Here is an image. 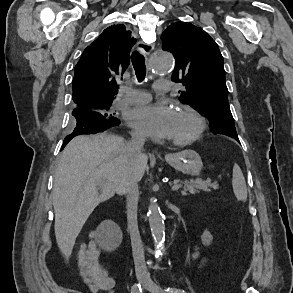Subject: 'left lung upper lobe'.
<instances>
[{"label":"left lung upper lobe","mask_w":293,"mask_h":293,"mask_svg":"<svg viewBox=\"0 0 293 293\" xmlns=\"http://www.w3.org/2000/svg\"><path fill=\"white\" fill-rule=\"evenodd\" d=\"M161 39L162 48L175 57L172 80L185 86L180 101L203 112L213 133L237 135L228 104L223 57L216 42L188 22L171 24Z\"/></svg>","instance_id":"left-lung-upper-lobe-1"}]
</instances>
